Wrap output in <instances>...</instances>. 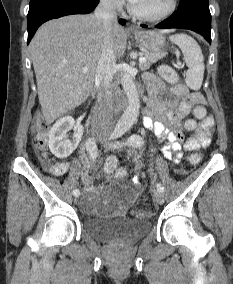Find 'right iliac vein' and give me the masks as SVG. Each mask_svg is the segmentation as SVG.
Returning <instances> with one entry per match:
<instances>
[{"label": "right iliac vein", "mask_w": 233, "mask_h": 284, "mask_svg": "<svg viewBox=\"0 0 233 284\" xmlns=\"http://www.w3.org/2000/svg\"><path fill=\"white\" fill-rule=\"evenodd\" d=\"M95 138H96L98 141H100V142H102V141L105 139V137H104L103 135L98 134V133L95 135ZM78 197H79V196H75V199H74L75 202L78 201Z\"/></svg>", "instance_id": "obj_1"}]
</instances>
